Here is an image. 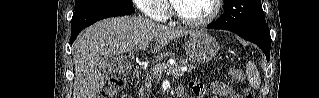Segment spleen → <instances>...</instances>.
I'll return each mask as SVG.
<instances>
[{
  "instance_id": "3e777b00",
  "label": "spleen",
  "mask_w": 319,
  "mask_h": 98,
  "mask_svg": "<svg viewBox=\"0 0 319 98\" xmlns=\"http://www.w3.org/2000/svg\"><path fill=\"white\" fill-rule=\"evenodd\" d=\"M246 76H247V79H248L250 85L254 89H258L260 86V83H261L260 74H259L255 64L251 61H249L246 65Z\"/></svg>"
}]
</instances>
